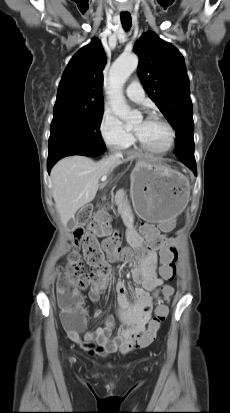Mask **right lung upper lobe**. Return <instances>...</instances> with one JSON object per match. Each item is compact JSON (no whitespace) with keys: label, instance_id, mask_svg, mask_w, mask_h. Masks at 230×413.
I'll use <instances>...</instances> for the list:
<instances>
[{"label":"right lung upper lobe","instance_id":"right-lung-upper-lobe-1","mask_svg":"<svg viewBox=\"0 0 230 413\" xmlns=\"http://www.w3.org/2000/svg\"><path fill=\"white\" fill-rule=\"evenodd\" d=\"M106 57L94 38L70 60L61 78L54 114L104 110L102 71Z\"/></svg>","mask_w":230,"mask_h":413}]
</instances>
